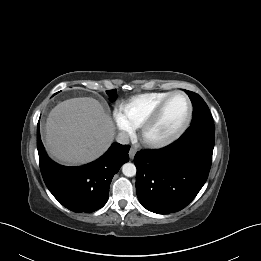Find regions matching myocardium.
I'll list each match as a JSON object with an SVG mask.
<instances>
[{"label": "myocardium", "mask_w": 261, "mask_h": 261, "mask_svg": "<svg viewBox=\"0 0 261 261\" xmlns=\"http://www.w3.org/2000/svg\"><path fill=\"white\" fill-rule=\"evenodd\" d=\"M180 95L183 96L187 102L188 106V111H187V116L184 121V123L172 134L165 136V137H151L150 136V131L152 128L156 125L157 121L159 120L160 116L162 115L167 103L169 100L176 96ZM193 116V104L189 98V96L180 90H176L173 92H170L159 104L158 106L153 110V112L150 114V116L145 120V122L141 125L140 127V132H139V138L140 141L148 147L152 148H159V147H164L166 145H169L179 139L185 131L188 129V127L191 124Z\"/></svg>", "instance_id": "obj_1"}]
</instances>
